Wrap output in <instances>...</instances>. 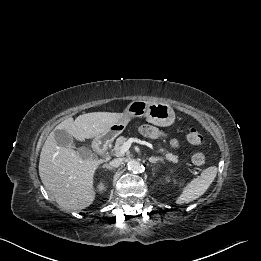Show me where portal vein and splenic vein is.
I'll list each match as a JSON object with an SVG mask.
<instances>
[{"label": "portal vein and splenic vein", "instance_id": "obj_1", "mask_svg": "<svg viewBox=\"0 0 261 261\" xmlns=\"http://www.w3.org/2000/svg\"><path fill=\"white\" fill-rule=\"evenodd\" d=\"M133 142L139 143L141 145H145V146H147V147H149L150 149L153 150L152 144L145 142V141H142V140H139V139H136V138H130L126 142L123 143L122 147L120 148V152H119L118 156H123L125 154V152H127L129 150V148H130V146ZM194 174L197 175L198 172L194 171Z\"/></svg>", "mask_w": 261, "mask_h": 261}]
</instances>
